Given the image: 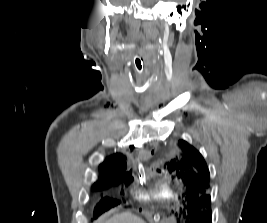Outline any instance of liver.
Listing matches in <instances>:
<instances>
[{
  "mask_svg": "<svg viewBox=\"0 0 267 223\" xmlns=\"http://www.w3.org/2000/svg\"><path fill=\"white\" fill-rule=\"evenodd\" d=\"M101 223H145L141 218L129 213L124 212L116 214L110 219L102 221Z\"/></svg>",
  "mask_w": 267,
  "mask_h": 223,
  "instance_id": "1",
  "label": "liver"
}]
</instances>
